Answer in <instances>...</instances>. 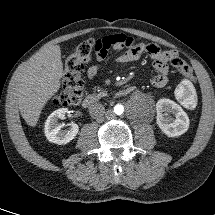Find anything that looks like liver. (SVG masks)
<instances>
[{
    "label": "liver",
    "mask_w": 215,
    "mask_h": 215,
    "mask_svg": "<svg viewBox=\"0 0 215 215\" xmlns=\"http://www.w3.org/2000/svg\"><path fill=\"white\" fill-rule=\"evenodd\" d=\"M63 64L59 45L42 48L14 78L22 118L36 126L45 104L60 88Z\"/></svg>",
    "instance_id": "obj_1"
}]
</instances>
